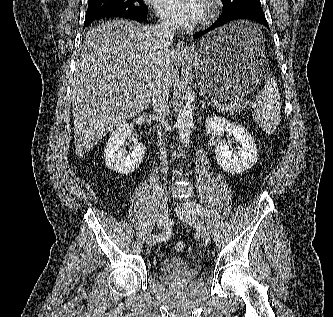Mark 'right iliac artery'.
I'll return each instance as SVG.
<instances>
[{
  "mask_svg": "<svg viewBox=\"0 0 333 317\" xmlns=\"http://www.w3.org/2000/svg\"><path fill=\"white\" fill-rule=\"evenodd\" d=\"M171 234H172L171 228L167 227L166 231H164L162 234L156 237V241L157 242L165 241L170 238Z\"/></svg>",
  "mask_w": 333,
  "mask_h": 317,
  "instance_id": "obj_1",
  "label": "right iliac artery"
}]
</instances>
